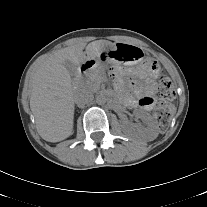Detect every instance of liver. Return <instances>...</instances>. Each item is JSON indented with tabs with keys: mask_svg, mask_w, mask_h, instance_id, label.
Masks as SVG:
<instances>
[{
	"mask_svg": "<svg viewBox=\"0 0 207 207\" xmlns=\"http://www.w3.org/2000/svg\"><path fill=\"white\" fill-rule=\"evenodd\" d=\"M111 45L107 40H96L87 46L80 42L56 51L37 66L30 78V109L45 141L59 142L73 132L77 90L64 63L80 66L95 61Z\"/></svg>",
	"mask_w": 207,
	"mask_h": 207,
	"instance_id": "obj_1",
	"label": "liver"
}]
</instances>
